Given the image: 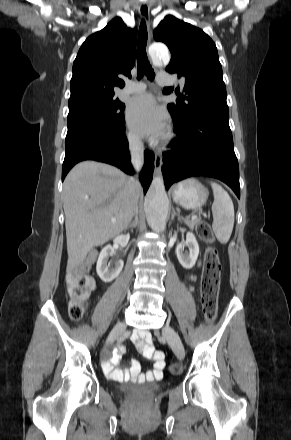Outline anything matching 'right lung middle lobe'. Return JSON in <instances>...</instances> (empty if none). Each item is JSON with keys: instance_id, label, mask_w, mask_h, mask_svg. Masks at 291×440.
I'll list each match as a JSON object with an SVG mask.
<instances>
[{"instance_id": "dd1d6c3e", "label": "right lung middle lobe", "mask_w": 291, "mask_h": 440, "mask_svg": "<svg viewBox=\"0 0 291 440\" xmlns=\"http://www.w3.org/2000/svg\"><path fill=\"white\" fill-rule=\"evenodd\" d=\"M125 105L111 96H86L69 101L68 121L90 119L102 124H115L124 118Z\"/></svg>"}]
</instances>
